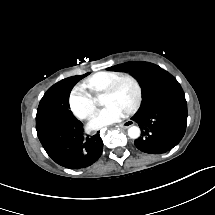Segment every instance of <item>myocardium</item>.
Segmentation results:
<instances>
[{"mask_svg":"<svg viewBox=\"0 0 215 215\" xmlns=\"http://www.w3.org/2000/svg\"><path fill=\"white\" fill-rule=\"evenodd\" d=\"M121 84H126L130 88V99L125 106L128 107L126 108V113H133L140 98V88L133 77L124 74L113 76L110 83H107L105 86V91H110L111 94H114L117 87Z\"/></svg>","mask_w":215,"mask_h":215,"instance_id":"obj_1","label":"myocardium"}]
</instances>
